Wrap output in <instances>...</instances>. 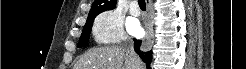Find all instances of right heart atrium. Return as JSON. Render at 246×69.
<instances>
[{"instance_id": "1", "label": "right heart atrium", "mask_w": 246, "mask_h": 69, "mask_svg": "<svg viewBox=\"0 0 246 69\" xmlns=\"http://www.w3.org/2000/svg\"><path fill=\"white\" fill-rule=\"evenodd\" d=\"M91 35L97 44L117 43L125 38L123 17L115 10L99 14L92 25Z\"/></svg>"}]
</instances>
